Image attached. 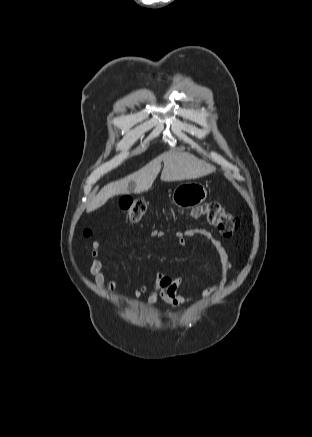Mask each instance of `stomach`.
Returning a JSON list of instances; mask_svg holds the SVG:
<instances>
[{"mask_svg":"<svg viewBox=\"0 0 312 437\" xmlns=\"http://www.w3.org/2000/svg\"><path fill=\"white\" fill-rule=\"evenodd\" d=\"M207 191L203 184L185 182L179 184L173 191L172 202L178 208L189 209L205 201Z\"/></svg>","mask_w":312,"mask_h":437,"instance_id":"1","label":"stomach"}]
</instances>
